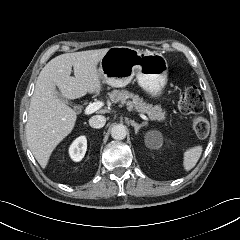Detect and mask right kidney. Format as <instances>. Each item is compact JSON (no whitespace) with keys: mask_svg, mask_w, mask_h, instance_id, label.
<instances>
[{"mask_svg":"<svg viewBox=\"0 0 240 240\" xmlns=\"http://www.w3.org/2000/svg\"><path fill=\"white\" fill-rule=\"evenodd\" d=\"M86 150L87 139L85 136H80L71 144L69 154L74 161L79 162L84 157Z\"/></svg>","mask_w":240,"mask_h":240,"instance_id":"obj_1","label":"right kidney"}]
</instances>
